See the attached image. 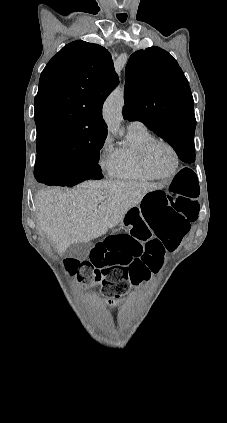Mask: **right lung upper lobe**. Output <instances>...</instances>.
<instances>
[{"instance_id":"right-lung-upper-lobe-1","label":"right lung upper lobe","mask_w":227,"mask_h":423,"mask_svg":"<svg viewBox=\"0 0 227 423\" xmlns=\"http://www.w3.org/2000/svg\"><path fill=\"white\" fill-rule=\"evenodd\" d=\"M117 84L105 48L81 40L63 47L40 77L34 106L37 145L107 134L102 105Z\"/></svg>"}]
</instances>
